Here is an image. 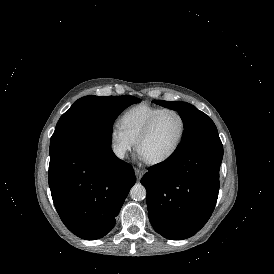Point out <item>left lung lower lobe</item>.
<instances>
[{"label":"left lung lower lobe","instance_id":"1","mask_svg":"<svg viewBox=\"0 0 274 274\" xmlns=\"http://www.w3.org/2000/svg\"><path fill=\"white\" fill-rule=\"evenodd\" d=\"M222 158V143H209L149 168L141 183L156 232L181 240L205 225L216 205Z\"/></svg>","mask_w":274,"mask_h":274}]
</instances>
